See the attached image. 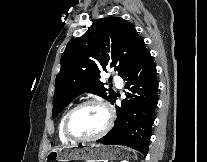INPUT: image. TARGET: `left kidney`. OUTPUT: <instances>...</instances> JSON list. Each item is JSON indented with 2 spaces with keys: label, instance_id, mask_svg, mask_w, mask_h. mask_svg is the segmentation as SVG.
<instances>
[{
  "label": "left kidney",
  "instance_id": "left-kidney-1",
  "mask_svg": "<svg viewBox=\"0 0 207 162\" xmlns=\"http://www.w3.org/2000/svg\"><path fill=\"white\" fill-rule=\"evenodd\" d=\"M121 162H129V161L124 160V161H121Z\"/></svg>",
  "mask_w": 207,
  "mask_h": 162
}]
</instances>
